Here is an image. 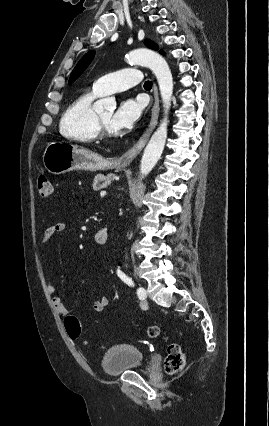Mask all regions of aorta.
<instances>
[{
	"label": "aorta",
	"mask_w": 269,
	"mask_h": 426,
	"mask_svg": "<svg viewBox=\"0 0 269 426\" xmlns=\"http://www.w3.org/2000/svg\"><path fill=\"white\" fill-rule=\"evenodd\" d=\"M127 61L132 64L142 65L150 68L157 78L162 103L164 107V118L150 138L140 163L141 179L148 175L163 152L167 139L168 111L171 106L173 94V78L166 60L158 53L149 49H136L127 55ZM116 105L112 99L104 98L94 104L96 112H102L105 108H113Z\"/></svg>",
	"instance_id": "1"
}]
</instances>
